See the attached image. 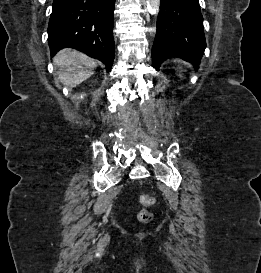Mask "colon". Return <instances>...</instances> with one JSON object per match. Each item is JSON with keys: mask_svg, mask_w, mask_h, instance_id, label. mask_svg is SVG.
Here are the masks:
<instances>
[{"mask_svg": "<svg viewBox=\"0 0 261 273\" xmlns=\"http://www.w3.org/2000/svg\"><path fill=\"white\" fill-rule=\"evenodd\" d=\"M140 203L143 206H150L154 204V198L149 194H143L140 197ZM138 218L141 221H149L151 219V214L146 209H141L138 213Z\"/></svg>", "mask_w": 261, "mask_h": 273, "instance_id": "1", "label": "colon"}]
</instances>
